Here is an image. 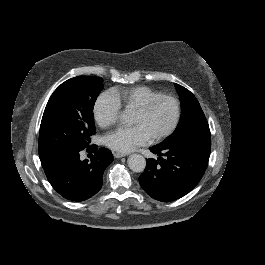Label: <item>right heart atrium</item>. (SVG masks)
Masks as SVG:
<instances>
[{
    "label": "right heart atrium",
    "mask_w": 265,
    "mask_h": 265,
    "mask_svg": "<svg viewBox=\"0 0 265 265\" xmlns=\"http://www.w3.org/2000/svg\"><path fill=\"white\" fill-rule=\"evenodd\" d=\"M121 107L110 93H102L93 106V116L96 123L106 128L118 122Z\"/></svg>",
    "instance_id": "right-heart-atrium-1"
}]
</instances>
